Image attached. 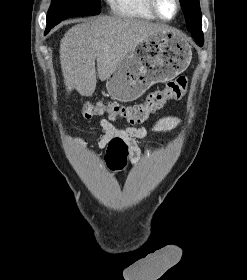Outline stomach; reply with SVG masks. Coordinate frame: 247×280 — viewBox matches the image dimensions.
<instances>
[{
    "label": "stomach",
    "instance_id": "stomach-1",
    "mask_svg": "<svg viewBox=\"0 0 247 280\" xmlns=\"http://www.w3.org/2000/svg\"><path fill=\"white\" fill-rule=\"evenodd\" d=\"M191 59V47L180 34H152L117 65L107 79V91L120 102L136 100L153 84L169 81L185 71Z\"/></svg>",
    "mask_w": 247,
    "mask_h": 280
}]
</instances>
